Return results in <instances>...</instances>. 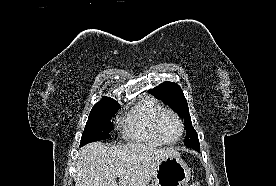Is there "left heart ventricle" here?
Here are the masks:
<instances>
[{
    "mask_svg": "<svg viewBox=\"0 0 276 186\" xmlns=\"http://www.w3.org/2000/svg\"><path fill=\"white\" fill-rule=\"evenodd\" d=\"M160 127L164 136L170 141L177 139L180 134V127L176 119L171 115H165L161 119Z\"/></svg>",
    "mask_w": 276,
    "mask_h": 186,
    "instance_id": "1",
    "label": "left heart ventricle"
}]
</instances>
